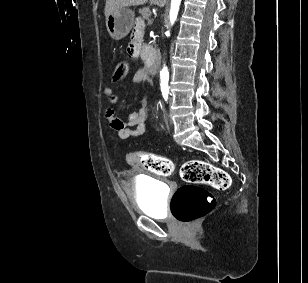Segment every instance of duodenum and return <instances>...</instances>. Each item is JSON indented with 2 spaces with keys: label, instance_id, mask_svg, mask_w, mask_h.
Wrapping results in <instances>:
<instances>
[{
  "label": "duodenum",
  "instance_id": "obj_1",
  "mask_svg": "<svg viewBox=\"0 0 308 283\" xmlns=\"http://www.w3.org/2000/svg\"><path fill=\"white\" fill-rule=\"evenodd\" d=\"M143 50V61L144 62H149V67L152 68L155 64L156 61L158 60V53L156 51V48H153L151 44H146L144 46Z\"/></svg>",
  "mask_w": 308,
  "mask_h": 283
}]
</instances>
